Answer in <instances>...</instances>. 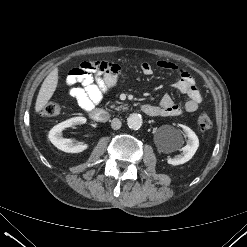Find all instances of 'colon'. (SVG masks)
<instances>
[{
    "label": "colon",
    "instance_id": "obj_1",
    "mask_svg": "<svg viewBox=\"0 0 247 247\" xmlns=\"http://www.w3.org/2000/svg\"><path fill=\"white\" fill-rule=\"evenodd\" d=\"M61 112L59 104L54 102L47 103L41 110V114L45 117H54ZM197 127L200 131H208L212 128V120L207 114H200L197 118Z\"/></svg>",
    "mask_w": 247,
    "mask_h": 247
}]
</instances>
